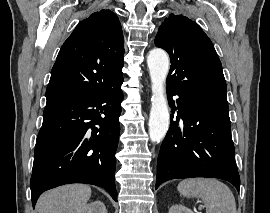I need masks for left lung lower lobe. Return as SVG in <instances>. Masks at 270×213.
Segmentation results:
<instances>
[{
	"label": "left lung lower lobe",
	"instance_id": "left-lung-lower-lobe-1",
	"mask_svg": "<svg viewBox=\"0 0 270 213\" xmlns=\"http://www.w3.org/2000/svg\"><path fill=\"white\" fill-rule=\"evenodd\" d=\"M169 103L176 100L178 114L161 145L157 162L156 189L176 178L211 177L231 182L239 191L240 177L228 105L167 88ZM171 105V104H170ZM183 120V133L178 127Z\"/></svg>",
	"mask_w": 270,
	"mask_h": 213
}]
</instances>
